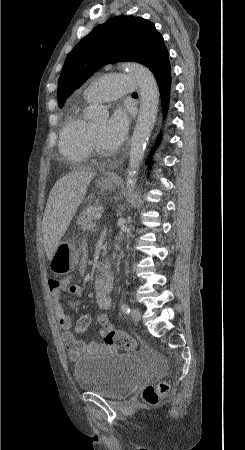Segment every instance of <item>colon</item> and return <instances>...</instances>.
I'll use <instances>...</instances> for the list:
<instances>
[{
    "label": "colon",
    "instance_id": "5ec220e1",
    "mask_svg": "<svg viewBox=\"0 0 245 450\" xmlns=\"http://www.w3.org/2000/svg\"><path fill=\"white\" fill-rule=\"evenodd\" d=\"M63 281L60 277H53L49 280V284L52 288H58ZM96 322L104 328V341L105 343L115 345L122 349H132L135 347L134 340L131 336L123 331L115 329L111 326L107 318L101 314L96 316ZM92 323L91 317L84 315L78 318L76 321V331H85ZM170 390V383L162 381L157 385H147L142 390V397L148 404L155 405L159 402L160 398L168 393Z\"/></svg>",
    "mask_w": 245,
    "mask_h": 450
}]
</instances>
